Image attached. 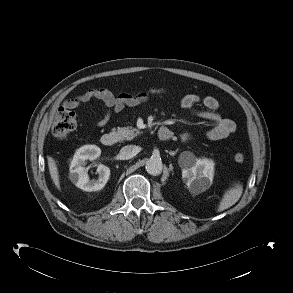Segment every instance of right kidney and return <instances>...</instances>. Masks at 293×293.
<instances>
[{"mask_svg": "<svg viewBox=\"0 0 293 293\" xmlns=\"http://www.w3.org/2000/svg\"><path fill=\"white\" fill-rule=\"evenodd\" d=\"M101 154V149L96 145H85L79 148L71 161L69 179L78 188L84 191H98L104 188L109 176L110 169L103 165L98 164L97 172L99 174L98 179L90 180L86 173L85 165L87 160L94 161Z\"/></svg>", "mask_w": 293, "mask_h": 293, "instance_id": "1", "label": "right kidney"}]
</instances>
